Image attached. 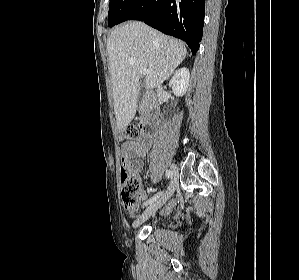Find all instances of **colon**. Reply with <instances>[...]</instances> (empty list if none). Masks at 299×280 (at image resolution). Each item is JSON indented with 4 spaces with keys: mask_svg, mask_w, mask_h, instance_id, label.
I'll return each mask as SVG.
<instances>
[{
    "mask_svg": "<svg viewBox=\"0 0 299 280\" xmlns=\"http://www.w3.org/2000/svg\"><path fill=\"white\" fill-rule=\"evenodd\" d=\"M140 138L139 129L135 125H129L120 132L122 146L138 141ZM121 196L124 209L134 215L140 203L141 180L137 175L135 164L122 156L120 170Z\"/></svg>",
    "mask_w": 299,
    "mask_h": 280,
    "instance_id": "5ec220e1",
    "label": "colon"
}]
</instances>
